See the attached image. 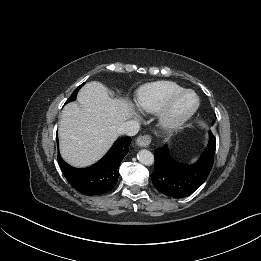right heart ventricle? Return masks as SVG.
Segmentation results:
<instances>
[{"label": "right heart ventricle", "instance_id": "right-heart-ventricle-1", "mask_svg": "<svg viewBox=\"0 0 261 261\" xmlns=\"http://www.w3.org/2000/svg\"><path fill=\"white\" fill-rule=\"evenodd\" d=\"M184 88L172 81H157L143 85L137 92V106L146 113H158L165 103Z\"/></svg>", "mask_w": 261, "mask_h": 261}]
</instances>
